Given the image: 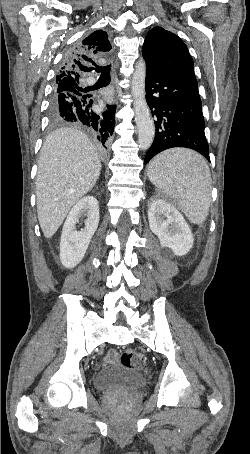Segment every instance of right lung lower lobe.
I'll return each instance as SVG.
<instances>
[{"label":"right lung lower lobe","instance_id":"98d812e1","mask_svg":"<svg viewBox=\"0 0 250 454\" xmlns=\"http://www.w3.org/2000/svg\"><path fill=\"white\" fill-rule=\"evenodd\" d=\"M92 97L72 96V99L65 93L58 95L56 101L51 102L50 111L64 122L77 123L97 137L100 143L106 147L110 140L115 126V106L107 105L103 113L92 110Z\"/></svg>","mask_w":250,"mask_h":454}]
</instances>
